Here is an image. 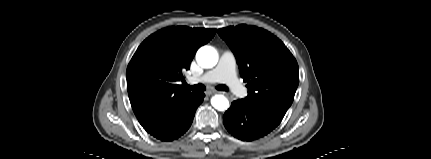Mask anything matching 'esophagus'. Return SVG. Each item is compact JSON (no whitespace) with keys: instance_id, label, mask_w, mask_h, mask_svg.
<instances>
[{"instance_id":"1","label":"esophagus","mask_w":431,"mask_h":159,"mask_svg":"<svg viewBox=\"0 0 431 159\" xmlns=\"http://www.w3.org/2000/svg\"><path fill=\"white\" fill-rule=\"evenodd\" d=\"M216 92H217L216 90H208V91H206V95L210 96L212 94H215Z\"/></svg>"}]
</instances>
